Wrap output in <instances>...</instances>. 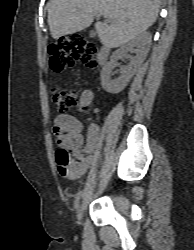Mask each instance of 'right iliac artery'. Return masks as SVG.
<instances>
[{
	"mask_svg": "<svg viewBox=\"0 0 194 250\" xmlns=\"http://www.w3.org/2000/svg\"><path fill=\"white\" fill-rule=\"evenodd\" d=\"M81 195H82V191L80 190L76 197H75V202H74V208L77 209L78 208V205H79V201H80V198H81Z\"/></svg>",
	"mask_w": 194,
	"mask_h": 250,
	"instance_id": "1",
	"label": "right iliac artery"
}]
</instances>
